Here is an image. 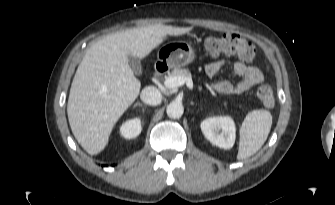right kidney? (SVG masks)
Returning <instances> with one entry per match:
<instances>
[{
    "mask_svg": "<svg viewBox=\"0 0 335 205\" xmlns=\"http://www.w3.org/2000/svg\"><path fill=\"white\" fill-rule=\"evenodd\" d=\"M141 130V119L138 117L129 119L120 126V134L125 139L137 137L141 133Z\"/></svg>",
    "mask_w": 335,
    "mask_h": 205,
    "instance_id": "obj_1",
    "label": "right kidney"
}]
</instances>
